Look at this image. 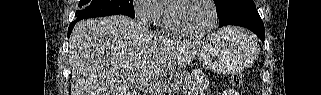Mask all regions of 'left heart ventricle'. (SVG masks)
I'll return each instance as SVG.
<instances>
[{
  "label": "left heart ventricle",
  "instance_id": "b2bd125f",
  "mask_svg": "<svg viewBox=\"0 0 321 95\" xmlns=\"http://www.w3.org/2000/svg\"><path fill=\"white\" fill-rule=\"evenodd\" d=\"M173 16L180 27L200 31L210 24L212 12L204 0H189L176 6Z\"/></svg>",
  "mask_w": 321,
  "mask_h": 95
}]
</instances>
